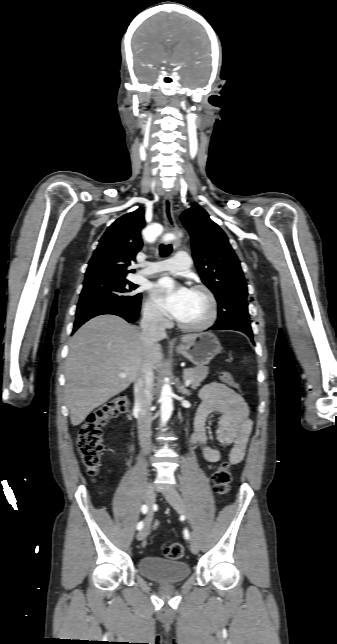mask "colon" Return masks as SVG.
<instances>
[{
    "mask_svg": "<svg viewBox=\"0 0 337 644\" xmlns=\"http://www.w3.org/2000/svg\"><path fill=\"white\" fill-rule=\"evenodd\" d=\"M219 378L229 386L238 387L232 374L226 370L219 372ZM128 406V397L124 394L118 395L93 410L80 425L76 447L89 475L96 476L100 469L103 451L102 427L110 418L125 413ZM212 478L216 493L222 497L226 496L231 482L229 462H221ZM165 555L171 560H179L184 555V547L180 543L170 544L165 549Z\"/></svg>",
    "mask_w": 337,
    "mask_h": 644,
    "instance_id": "obj_1",
    "label": "colon"
}]
</instances>
